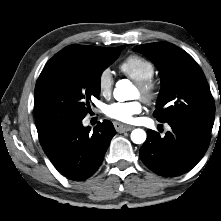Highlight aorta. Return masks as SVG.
Masks as SVG:
<instances>
[{"label":"aorta","instance_id":"obj_1","mask_svg":"<svg viewBox=\"0 0 221 221\" xmlns=\"http://www.w3.org/2000/svg\"><path fill=\"white\" fill-rule=\"evenodd\" d=\"M134 89L133 84L128 79L119 80L113 92L114 98L120 102L130 100ZM131 140L135 144L144 143L146 140V132L143 129H134L131 133Z\"/></svg>","mask_w":221,"mask_h":221}]
</instances>
